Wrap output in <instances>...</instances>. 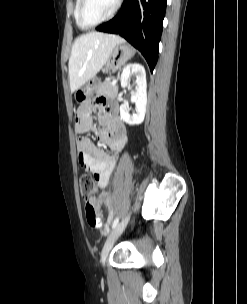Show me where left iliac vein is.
<instances>
[{
	"label": "left iliac vein",
	"instance_id": "4c4485c4",
	"mask_svg": "<svg viewBox=\"0 0 247 304\" xmlns=\"http://www.w3.org/2000/svg\"><path fill=\"white\" fill-rule=\"evenodd\" d=\"M129 220V215H127L116 227L115 229L111 232V234L108 236L105 245L103 247L102 250V254H101V261L102 264L104 265L106 262V259L108 257V254L113 246V244L115 243V241L117 240V238L121 235V233L123 232V230L125 229L127 223Z\"/></svg>",
	"mask_w": 247,
	"mask_h": 304
}]
</instances>
